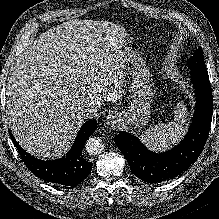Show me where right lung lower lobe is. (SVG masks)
<instances>
[{
  "instance_id": "right-lung-lower-lobe-1",
  "label": "right lung lower lobe",
  "mask_w": 219,
  "mask_h": 219,
  "mask_svg": "<svg viewBox=\"0 0 219 219\" xmlns=\"http://www.w3.org/2000/svg\"><path fill=\"white\" fill-rule=\"evenodd\" d=\"M96 128L97 121L95 119L85 122L66 156L52 161L38 160L31 156L20 147L10 132L9 135L24 164L34 175L47 182L74 187L80 184L91 172L93 164L83 157L82 149L85 141Z\"/></svg>"
}]
</instances>
